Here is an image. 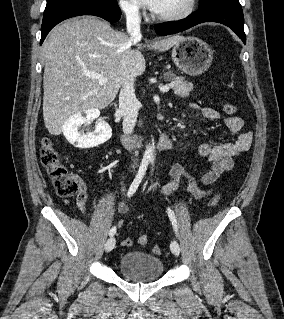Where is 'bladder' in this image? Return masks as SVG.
<instances>
[{"instance_id":"obj_1","label":"bladder","mask_w":284,"mask_h":319,"mask_svg":"<svg viewBox=\"0 0 284 319\" xmlns=\"http://www.w3.org/2000/svg\"><path fill=\"white\" fill-rule=\"evenodd\" d=\"M118 267L120 273L133 282H151L157 280L163 273L162 260L141 251L124 253Z\"/></svg>"}]
</instances>
